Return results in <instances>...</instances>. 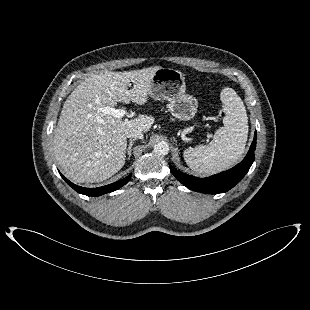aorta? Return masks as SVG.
Masks as SVG:
<instances>
[{
	"label": "aorta",
	"instance_id": "762f6f07",
	"mask_svg": "<svg viewBox=\"0 0 310 310\" xmlns=\"http://www.w3.org/2000/svg\"><path fill=\"white\" fill-rule=\"evenodd\" d=\"M169 152V145L165 141L158 142L154 145V153L157 155H167Z\"/></svg>",
	"mask_w": 310,
	"mask_h": 310
}]
</instances>
